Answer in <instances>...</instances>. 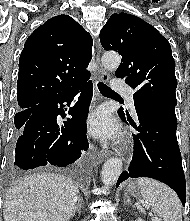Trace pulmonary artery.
<instances>
[{
  "mask_svg": "<svg viewBox=\"0 0 190 221\" xmlns=\"http://www.w3.org/2000/svg\"><path fill=\"white\" fill-rule=\"evenodd\" d=\"M112 88L116 91H119V92H123L126 96V99L131 107V109L133 111H135V107H134V98H133V95H134V92L132 89L126 87L123 85V83L116 79L112 82Z\"/></svg>",
  "mask_w": 190,
  "mask_h": 221,
  "instance_id": "obj_1",
  "label": "pulmonary artery"
}]
</instances>
